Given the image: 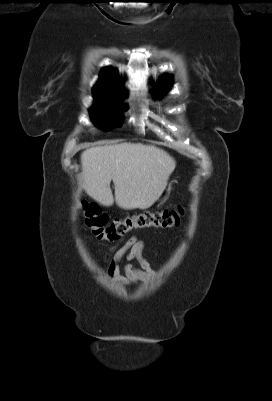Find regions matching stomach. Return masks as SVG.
<instances>
[{
  "label": "stomach",
  "mask_w": 272,
  "mask_h": 401,
  "mask_svg": "<svg viewBox=\"0 0 272 401\" xmlns=\"http://www.w3.org/2000/svg\"><path fill=\"white\" fill-rule=\"evenodd\" d=\"M170 187H168V189L166 190L164 197L167 195L168 191H169ZM163 194V193H162Z\"/></svg>",
  "instance_id": "0dacf381"
}]
</instances>
